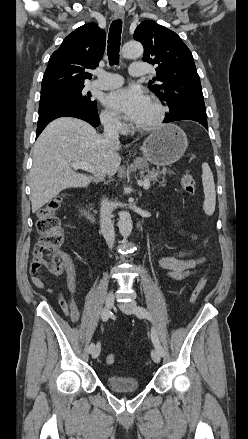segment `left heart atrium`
<instances>
[{"label":"left heart atrium","instance_id":"left-heart-atrium-1","mask_svg":"<svg viewBox=\"0 0 248 439\" xmlns=\"http://www.w3.org/2000/svg\"><path fill=\"white\" fill-rule=\"evenodd\" d=\"M104 103L127 120L137 122L143 115L149 100L141 88L133 86L110 92L105 96Z\"/></svg>","mask_w":248,"mask_h":439}]
</instances>
